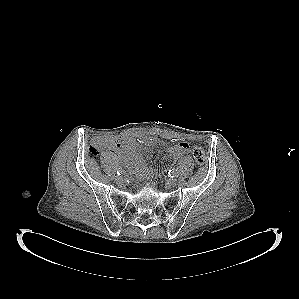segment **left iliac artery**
Instances as JSON below:
<instances>
[{
    "label": "left iliac artery",
    "instance_id": "left-iliac-artery-1",
    "mask_svg": "<svg viewBox=\"0 0 299 299\" xmlns=\"http://www.w3.org/2000/svg\"><path fill=\"white\" fill-rule=\"evenodd\" d=\"M168 174L170 177H176L178 175L177 169H171Z\"/></svg>",
    "mask_w": 299,
    "mask_h": 299
}]
</instances>
